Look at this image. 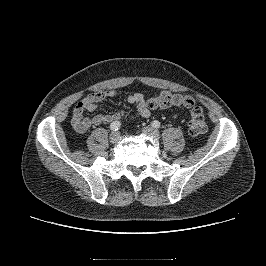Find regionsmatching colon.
<instances>
[{
  "label": "colon",
  "mask_w": 266,
  "mask_h": 266,
  "mask_svg": "<svg viewBox=\"0 0 266 266\" xmlns=\"http://www.w3.org/2000/svg\"><path fill=\"white\" fill-rule=\"evenodd\" d=\"M147 102L151 108L183 106L190 111V119L188 122L190 135L197 137L207 131V124L203 110L190 96L162 92L151 97Z\"/></svg>",
  "instance_id": "obj_1"
}]
</instances>
